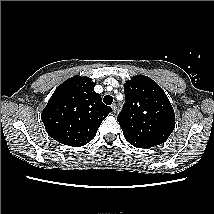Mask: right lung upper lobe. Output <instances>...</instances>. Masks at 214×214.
<instances>
[{
  "label": "right lung upper lobe",
  "instance_id": "cb5924a9",
  "mask_svg": "<svg viewBox=\"0 0 214 214\" xmlns=\"http://www.w3.org/2000/svg\"><path fill=\"white\" fill-rule=\"evenodd\" d=\"M95 85L91 78L74 76L56 88L41 114L50 137L75 147L95 137L102 120L112 111L94 91Z\"/></svg>",
  "mask_w": 214,
  "mask_h": 214
}]
</instances>
